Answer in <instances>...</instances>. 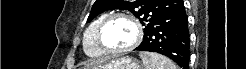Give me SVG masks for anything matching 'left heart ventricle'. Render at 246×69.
I'll return each mask as SVG.
<instances>
[{"label":"left heart ventricle","mask_w":246,"mask_h":69,"mask_svg":"<svg viewBox=\"0 0 246 69\" xmlns=\"http://www.w3.org/2000/svg\"><path fill=\"white\" fill-rule=\"evenodd\" d=\"M136 32L133 24L123 18L111 21L102 35L104 43L110 48L121 49L129 46L135 39Z\"/></svg>","instance_id":"obj_1"}]
</instances>
